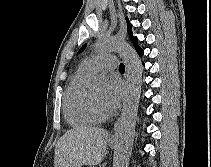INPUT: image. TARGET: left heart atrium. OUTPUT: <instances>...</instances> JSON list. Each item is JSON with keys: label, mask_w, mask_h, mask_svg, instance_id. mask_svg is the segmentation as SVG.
Listing matches in <instances>:
<instances>
[{"label": "left heart atrium", "mask_w": 211, "mask_h": 167, "mask_svg": "<svg viewBox=\"0 0 211 167\" xmlns=\"http://www.w3.org/2000/svg\"><path fill=\"white\" fill-rule=\"evenodd\" d=\"M122 95V83L117 77H110L103 93V105L108 114H112L118 109Z\"/></svg>", "instance_id": "obj_1"}]
</instances>
